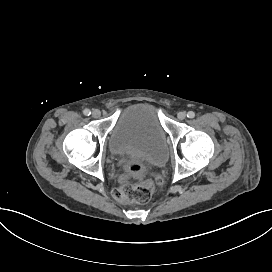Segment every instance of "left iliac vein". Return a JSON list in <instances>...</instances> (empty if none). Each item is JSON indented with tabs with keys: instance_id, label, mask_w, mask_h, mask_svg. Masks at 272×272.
Listing matches in <instances>:
<instances>
[{
	"instance_id": "1",
	"label": "left iliac vein",
	"mask_w": 272,
	"mask_h": 272,
	"mask_svg": "<svg viewBox=\"0 0 272 272\" xmlns=\"http://www.w3.org/2000/svg\"><path fill=\"white\" fill-rule=\"evenodd\" d=\"M177 117L179 120H184L186 118V113L185 112H179L177 114Z\"/></svg>"
}]
</instances>
